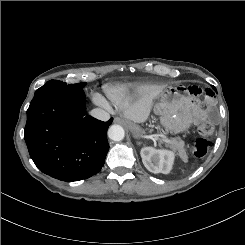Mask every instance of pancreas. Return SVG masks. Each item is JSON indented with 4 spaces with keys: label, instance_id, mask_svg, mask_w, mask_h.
<instances>
[{
    "label": "pancreas",
    "instance_id": "pancreas-1",
    "mask_svg": "<svg viewBox=\"0 0 245 245\" xmlns=\"http://www.w3.org/2000/svg\"><path fill=\"white\" fill-rule=\"evenodd\" d=\"M167 145L170 146L174 151L177 152V155L183 160H187L186 151L184 149V142L178 138H172L167 142Z\"/></svg>",
    "mask_w": 245,
    "mask_h": 245
}]
</instances>
